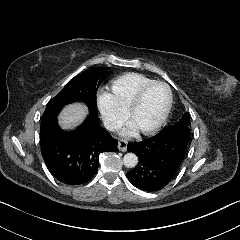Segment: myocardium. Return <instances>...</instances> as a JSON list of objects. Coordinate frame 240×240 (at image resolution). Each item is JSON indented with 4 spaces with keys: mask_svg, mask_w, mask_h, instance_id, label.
I'll return each instance as SVG.
<instances>
[{
    "mask_svg": "<svg viewBox=\"0 0 240 240\" xmlns=\"http://www.w3.org/2000/svg\"><path fill=\"white\" fill-rule=\"evenodd\" d=\"M155 85H161V86H163L166 89V91H167V98H166V102H165L163 111H162L159 119L153 125H151L150 127L139 130L140 133L143 134V135H152V134H154L155 132H157L161 128V126L166 121V119L168 117V114L170 112V108H171V105H172V99H173L172 91H171L169 85L167 83H165V82H162V81H151L150 83L144 85L143 87H141L139 89V91L137 92L134 100L132 101L130 106L125 110L126 122H131L134 113L141 106L145 94L147 93V91L152 86H155Z\"/></svg>",
    "mask_w": 240,
    "mask_h": 240,
    "instance_id": "f54148a6",
    "label": "myocardium"
}]
</instances>
